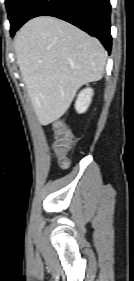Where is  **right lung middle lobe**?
<instances>
[{"mask_svg": "<svg viewBox=\"0 0 134 281\" xmlns=\"http://www.w3.org/2000/svg\"><path fill=\"white\" fill-rule=\"evenodd\" d=\"M29 0H6V8L8 13V18L11 23V34L16 31L19 27L22 19H23V12L28 4Z\"/></svg>", "mask_w": 134, "mask_h": 281, "instance_id": "obj_1", "label": "right lung middle lobe"}]
</instances>
